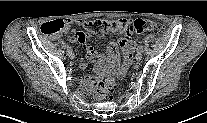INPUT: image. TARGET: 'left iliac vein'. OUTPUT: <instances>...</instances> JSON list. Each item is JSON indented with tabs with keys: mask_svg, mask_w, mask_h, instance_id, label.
I'll return each instance as SVG.
<instances>
[{
	"mask_svg": "<svg viewBox=\"0 0 207 123\" xmlns=\"http://www.w3.org/2000/svg\"><path fill=\"white\" fill-rule=\"evenodd\" d=\"M135 59H136V61H141V59H142V52L141 51H138L137 52V54H136V56H135Z\"/></svg>",
	"mask_w": 207,
	"mask_h": 123,
	"instance_id": "left-iliac-vein-1",
	"label": "left iliac vein"
}]
</instances>
